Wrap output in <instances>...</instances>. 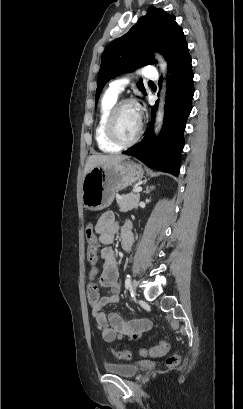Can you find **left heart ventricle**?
Masks as SVG:
<instances>
[{
	"label": "left heart ventricle",
	"instance_id": "obj_1",
	"mask_svg": "<svg viewBox=\"0 0 243 409\" xmlns=\"http://www.w3.org/2000/svg\"><path fill=\"white\" fill-rule=\"evenodd\" d=\"M116 126L123 139L133 138L140 128L138 109L134 106H125L117 116Z\"/></svg>",
	"mask_w": 243,
	"mask_h": 409
}]
</instances>
